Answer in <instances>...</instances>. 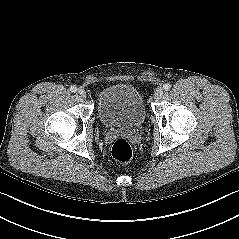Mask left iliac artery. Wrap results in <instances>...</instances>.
<instances>
[{
	"label": "left iliac artery",
	"instance_id": "left-iliac-artery-1",
	"mask_svg": "<svg viewBox=\"0 0 239 239\" xmlns=\"http://www.w3.org/2000/svg\"><path fill=\"white\" fill-rule=\"evenodd\" d=\"M164 90L165 91H169L170 88H171V84L170 83H166L164 86H163Z\"/></svg>",
	"mask_w": 239,
	"mask_h": 239
}]
</instances>
